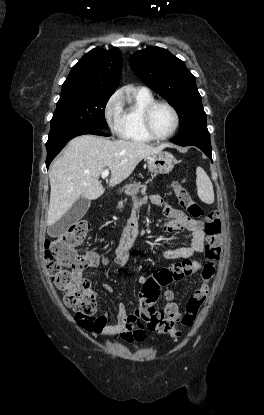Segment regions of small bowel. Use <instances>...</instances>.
<instances>
[{"label":"small bowel","mask_w":264,"mask_h":415,"mask_svg":"<svg viewBox=\"0 0 264 415\" xmlns=\"http://www.w3.org/2000/svg\"><path fill=\"white\" fill-rule=\"evenodd\" d=\"M151 200L154 204L162 208L164 216L169 218V221L164 224V232L171 234L180 230H186L190 234V240L187 245L179 246L175 248H167L163 250V256L166 259L178 260L184 258H190L195 254L201 253L204 250V225L201 221L189 218L182 211L175 209L169 205H164L162 200L157 195H152ZM139 221V213L132 216L126 225L124 237L119 243L115 251L114 259V274H119L123 268L128 264L131 253L134 247V238L138 226H134L133 220ZM149 276L142 275L139 277V283L143 285ZM109 292H113L110 286H107ZM167 294H171L167 291ZM138 309L132 314H128L123 303L118 306V314L116 321L113 324H107L108 316L103 313L95 318L94 326L91 328L92 331L98 334H104L109 336L119 335L125 341H140L146 336L144 330L137 326V315ZM137 336L140 338L138 339Z\"/></svg>","instance_id":"c3829d8e"}]
</instances>
